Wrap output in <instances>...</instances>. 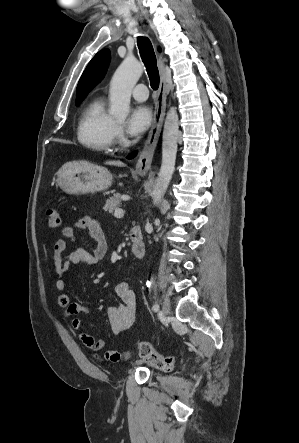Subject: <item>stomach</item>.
Returning <instances> with one entry per match:
<instances>
[{
    "label": "stomach",
    "mask_w": 299,
    "mask_h": 443,
    "mask_svg": "<svg viewBox=\"0 0 299 443\" xmlns=\"http://www.w3.org/2000/svg\"><path fill=\"white\" fill-rule=\"evenodd\" d=\"M112 181V174L106 168L87 162L65 164L58 171L56 180L57 185L71 195L105 191L112 185Z\"/></svg>",
    "instance_id": "stomach-1"
}]
</instances>
